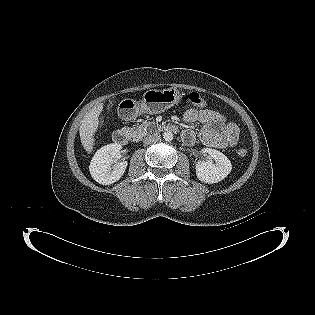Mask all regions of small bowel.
Here are the masks:
<instances>
[{"label": "small bowel", "mask_w": 315, "mask_h": 315, "mask_svg": "<svg viewBox=\"0 0 315 315\" xmlns=\"http://www.w3.org/2000/svg\"><path fill=\"white\" fill-rule=\"evenodd\" d=\"M183 119L188 124H202L199 133L193 129L183 132L182 138L187 145H192L199 139L206 146L223 149L235 146L239 140L236 124L218 111L192 108L185 112Z\"/></svg>", "instance_id": "c3829d8e"}]
</instances>
